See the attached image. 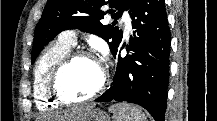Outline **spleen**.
I'll use <instances>...</instances> for the list:
<instances>
[{
    "instance_id": "obj_1",
    "label": "spleen",
    "mask_w": 217,
    "mask_h": 121,
    "mask_svg": "<svg viewBox=\"0 0 217 121\" xmlns=\"http://www.w3.org/2000/svg\"><path fill=\"white\" fill-rule=\"evenodd\" d=\"M115 121H146L144 113L138 107L128 103H117L109 108Z\"/></svg>"
}]
</instances>
